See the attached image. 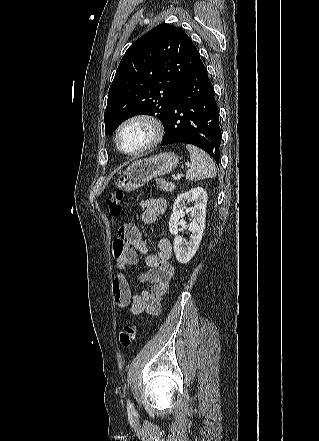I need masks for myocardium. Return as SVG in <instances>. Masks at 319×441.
<instances>
[{
    "label": "myocardium",
    "instance_id": "myocardium-1",
    "mask_svg": "<svg viewBox=\"0 0 319 441\" xmlns=\"http://www.w3.org/2000/svg\"><path fill=\"white\" fill-rule=\"evenodd\" d=\"M144 124L150 130V137L145 144L135 150H126L123 148L121 143V134L122 132L132 124ZM164 136V127L159 118L154 115L139 113L132 116H129L125 120H123L118 126L115 133V143L120 152L129 156L140 155L154 146L158 145Z\"/></svg>",
    "mask_w": 319,
    "mask_h": 441
}]
</instances>
